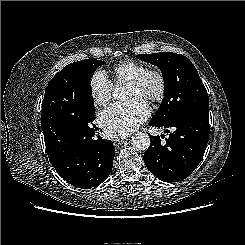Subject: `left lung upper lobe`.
<instances>
[{
    "mask_svg": "<svg viewBox=\"0 0 245 245\" xmlns=\"http://www.w3.org/2000/svg\"><path fill=\"white\" fill-rule=\"evenodd\" d=\"M137 57L160 68L164 99L152 121L169 123L196 108H209V98L199 74L185 56L160 52Z\"/></svg>",
    "mask_w": 245,
    "mask_h": 245,
    "instance_id": "5c2ea615",
    "label": "left lung upper lobe"
}]
</instances>
